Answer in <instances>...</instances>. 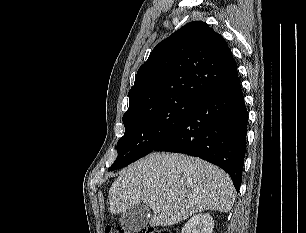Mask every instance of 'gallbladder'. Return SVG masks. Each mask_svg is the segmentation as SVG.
Here are the masks:
<instances>
[{"instance_id": "obj_1", "label": "gallbladder", "mask_w": 306, "mask_h": 233, "mask_svg": "<svg viewBox=\"0 0 306 233\" xmlns=\"http://www.w3.org/2000/svg\"><path fill=\"white\" fill-rule=\"evenodd\" d=\"M149 221V208L143 204H136L126 210L120 218L122 227L127 233H135L143 229Z\"/></svg>"}]
</instances>
